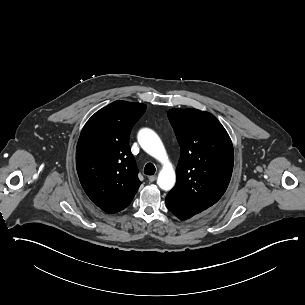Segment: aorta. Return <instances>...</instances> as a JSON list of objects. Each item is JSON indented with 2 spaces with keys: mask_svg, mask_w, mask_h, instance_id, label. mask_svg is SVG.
I'll return each mask as SVG.
<instances>
[{
  "mask_svg": "<svg viewBox=\"0 0 305 305\" xmlns=\"http://www.w3.org/2000/svg\"><path fill=\"white\" fill-rule=\"evenodd\" d=\"M138 142L144 151L163 164L157 179L158 186L165 191L171 190L175 185L176 175L159 136L153 130L144 128L138 133Z\"/></svg>",
  "mask_w": 305,
  "mask_h": 305,
  "instance_id": "aorta-1",
  "label": "aorta"
}]
</instances>
